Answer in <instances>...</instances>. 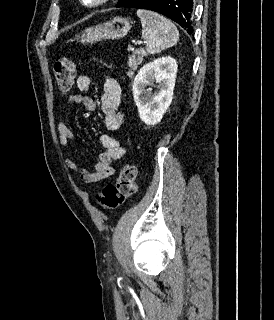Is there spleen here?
Instances as JSON below:
<instances>
[{"label": "spleen", "instance_id": "spleen-1", "mask_svg": "<svg viewBox=\"0 0 274 320\" xmlns=\"http://www.w3.org/2000/svg\"><path fill=\"white\" fill-rule=\"evenodd\" d=\"M137 16L141 20L142 38L148 54H159L166 48L176 46L179 32L170 20L149 10H137Z\"/></svg>", "mask_w": 274, "mask_h": 320}]
</instances>
